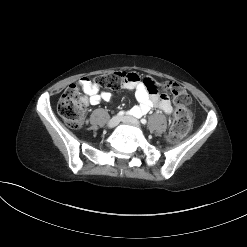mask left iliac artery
Returning a JSON list of instances; mask_svg holds the SVG:
<instances>
[{
    "mask_svg": "<svg viewBox=\"0 0 247 247\" xmlns=\"http://www.w3.org/2000/svg\"><path fill=\"white\" fill-rule=\"evenodd\" d=\"M137 117V116H136ZM141 123L143 124V125H145L146 123H147V120L145 119V118H142L141 120Z\"/></svg>",
    "mask_w": 247,
    "mask_h": 247,
    "instance_id": "44dca946",
    "label": "left iliac artery"
}]
</instances>
